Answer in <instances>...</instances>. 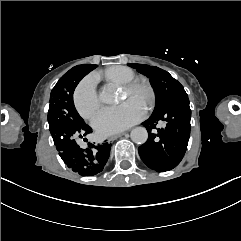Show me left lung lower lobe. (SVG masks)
<instances>
[{"mask_svg": "<svg viewBox=\"0 0 241 241\" xmlns=\"http://www.w3.org/2000/svg\"><path fill=\"white\" fill-rule=\"evenodd\" d=\"M191 110L187 95L174 98L153 113L142 125L148 131V140L138 148L142 161L157 172L176 167L182 160L190 137ZM159 121L166 127L152 133Z\"/></svg>", "mask_w": 241, "mask_h": 241, "instance_id": "left-lung-lower-lobe-1", "label": "left lung lower lobe"}]
</instances>
